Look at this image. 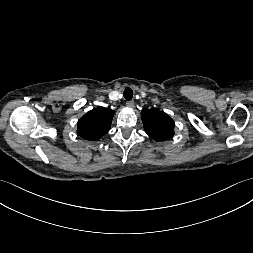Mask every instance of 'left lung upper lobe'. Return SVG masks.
I'll return each instance as SVG.
<instances>
[{"label": "left lung upper lobe", "mask_w": 253, "mask_h": 253, "mask_svg": "<svg viewBox=\"0 0 253 253\" xmlns=\"http://www.w3.org/2000/svg\"><path fill=\"white\" fill-rule=\"evenodd\" d=\"M141 118L145 132L157 141L168 140L174 135L175 123L166 113L157 109L142 111Z\"/></svg>", "instance_id": "obj_1"}]
</instances>
